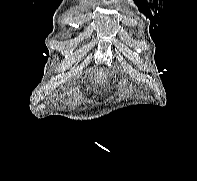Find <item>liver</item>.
<instances>
[{
	"label": "liver",
	"instance_id": "6515ba94",
	"mask_svg": "<svg viewBox=\"0 0 197 181\" xmlns=\"http://www.w3.org/2000/svg\"><path fill=\"white\" fill-rule=\"evenodd\" d=\"M107 76H108V73L104 69H100V70H97V74L94 76V78L92 77L91 80L95 81V84L97 83L104 84L108 82Z\"/></svg>",
	"mask_w": 197,
	"mask_h": 181
}]
</instances>
